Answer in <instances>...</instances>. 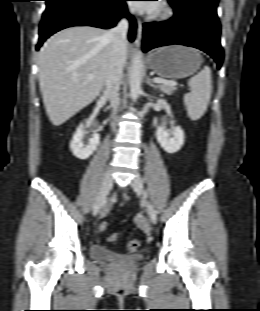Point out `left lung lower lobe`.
<instances>
[{"label":"left lung lower lobe","instance_id":"left-lung-lower-lobe-1","mask_svg":"<svg viewBox=\"0 0 260 311\" xmlns=\"http://www.w3.org/2000/svg\"><path fill=\"white\" fill-rule=\"evenodd\" d=\"M174 13L168 21L143 25V51L171 44L186 45L209 54L220 68L223 50L218 18L199 7L174 8Z\"/></svg>","mask_w":260,"mask_h":311}]
</instances>
